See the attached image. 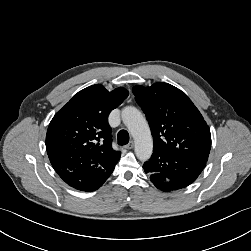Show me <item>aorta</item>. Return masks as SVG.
Masks as SVG:
<instances>
[{
	"mask_svg": "<svg viewBox=\"0 0 251 251\" xmlns=\"http://www.w3.org/2000/svg\"><path fill=\"white\" fill-rule=\"evenodd\" d=\"M122 120L135 141V154L141 161L151 157L153 140L149 125L142 113L133 106H127L122 110Z\"/></svg>",
	"mask_w": 251,
	"mask_h": 251,
	"instance_id": "1",
	"label": "aorta"
}]
</instances>
